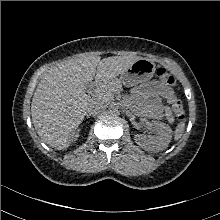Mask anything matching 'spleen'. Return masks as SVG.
Returning a JSON list of instances; mask_svg holds the SVG:
<instances>
[{
	"label": "spleen",
	"mask_w": 220,
	"mask_h": 220,
	"mask_svg": "<svg viewBox=\"0 0 220 220\" xmlns=\"http://www.w3.org/2000/svg\"><path fill=\"white\" fill-rule=\"evenodd\" d=\"M184 127H185V120H183L182 122H180L175 130V134H174V139L178 140L179 138H181L183 131H184Z\"/></svg>",
	"instance_id": "1"
}]
</instances>
